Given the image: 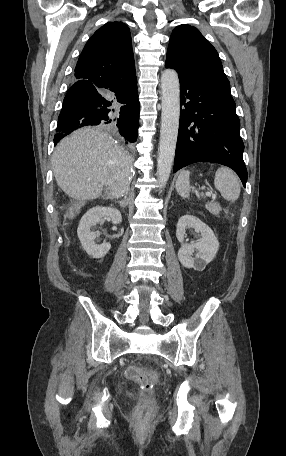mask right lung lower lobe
<instances>
[{"label":"right lung lower lobe","mask_w":286,"mask_h":456,"mask_svg":"<svg viewBox=\"0 0 286 456\" xmlns=\"http://www.w3.org/2000/svg\"><path fill=\"white\" fill-rule=\"evenodd\" d=\"M139 109L136 77L108 85L76 77L63 101L54 144L78 128L100 125L131 145L137 139Z\"/></svg>","instance_id":"right-lung-lower-lobe-1"}]
</instances>
